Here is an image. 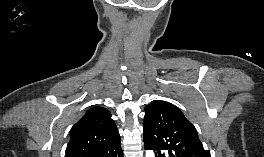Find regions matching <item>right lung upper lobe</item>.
<instances>
[{"instance_id":"right-lung-upper-lobe-1","label":"right lung upper lobe","mask_w":264,"mask_h":157,"mask_svg":"<svg viewBox=\"0 0 264 157\" xmlns=\"http://www.w3.org/2000/svg\"><path fill=\"white\" fill-rule=\"evenodd\" d=\"M120 142L110 111L95 106L72 127L66 157H97Z\"/></svg>"}]
</instances>
